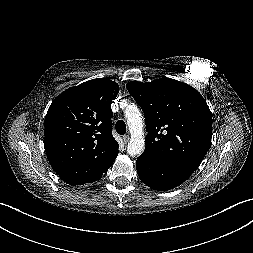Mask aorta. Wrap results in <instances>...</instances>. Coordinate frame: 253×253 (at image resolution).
Returning a JSON list of instances; mask_svg holds the SVG:
<instances>
[{
	"label": "aorta",
	"mask_w": 253,
	"mask_h": 253,
	"mask_svg": "<svg viewBox=\"0 0 253 253\" xmlns=\"http://www.w3.org/2000/svg\"><path fill=\"white\" fill-rule=\"evenodd\" d=\"M125 117L131 134L127 152L130 156L140 155L145 148L141 113L136 106L132 105L126 110Z\"/></svg>",
	"instance_id": "obj_1"
}]
</instances>
